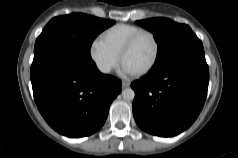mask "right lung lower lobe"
I'll list each match as a JSON object with an SVG mask.
<instances>
[{
    "label": "right lung lower lobe",
    "mask_w": 238,
    "mask_h": 158,
    "mask_svg": "<svg viewBox=\"0 0 238 158\" xmlns=\"http://www.w3.org/2000/svg\"><path fill=\"white\" fill-rule=\"evenodd\" d=\"M30 76L36 105L46 122L73 138L97 132L121 91V81L102 74L92 59L53 43L34 52Z\"/></svg>",
    "instance_id": "1"
}]
</instances>
